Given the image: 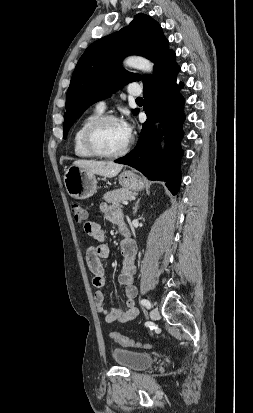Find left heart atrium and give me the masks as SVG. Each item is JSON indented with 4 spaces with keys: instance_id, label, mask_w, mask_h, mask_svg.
Masks as SVG:
<instances>
[{
    "instance_id": "1",
    "label": "left heart atrium",
    "mask_w": 253,
    "mask_h": 413,
    "mask_svg": "<svg viewBox=\"0 0 253 413\" xmlns=\"http://www.w3.org/2000/svg\"><path fill=\"white\" fill-rule=\"evenodd\" d=\"M120 127L122 129V131L124 132V134L127 136V138H131L132 136V131H133V126L130 123V121L128 119H121L119 121Z\"/></svg>"
}]
</instances>
